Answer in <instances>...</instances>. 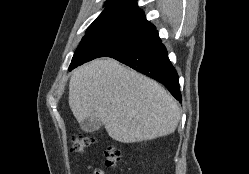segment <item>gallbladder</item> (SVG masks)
Here are the masks:
<instances>
[{
    "instance_id": "1",
    "label": "gallbladder",
    "mask_w": 249,
    "mask_h": 174,
    "mask_svg": "<svg viewBox=\"0 0 249 174\" xmlns=\"http://www.w3.org/2000/svg\"><path fill=\"white\" fill-rule=\"evenodd\" d=\"M102 126L101 120L97 117H89L80 122V127L85 132H94Z\"/></svg>"
}]
</instances>
